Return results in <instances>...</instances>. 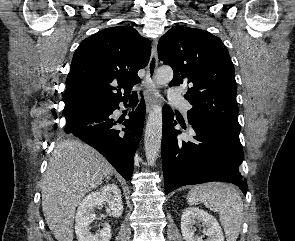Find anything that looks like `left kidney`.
Listing matches in <instances>:
<instances>
[{"mask_svg": "<svg viewBox=\"0 0 295 241\" xmlns=\"http://www.w3.org/2000/svg\"><path fill=\"white\" fill-rule=\"evenodd\" d=\"M202 223L204 235L195 234V225ZM181 232L185 241H224L221 227L208 212L196 207L186 208L181 216ZM204 236L207 238L204 240Z\"/></svg>", "mask_w": 295, "mask_h": 241, "instance_id": "obj_1", "label": "left kidney"}]
</instances>
